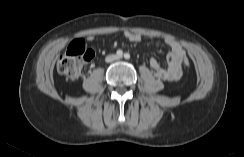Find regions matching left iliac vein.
<instances>
[{
  "mask_svg": "<svg viewBox=\"0 0 244 157\" xmlns=\"http://www.w3.org/2000/svg\"><path fill=\"white\" fill-rule=\"evenodd\" d=\"M116 59H117V60H120V59H121V57H117Z\"/></svg>",
  "mask_w": 244,
  "mask_h": 157,
  "instance_id": "4c4485c4",
  "label": "left iliac vein"
}]
</instances>
